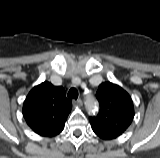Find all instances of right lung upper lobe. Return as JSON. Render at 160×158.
<instances>
[{
	"label": "right lung upper lobe",
	"mask_w": 160,
	"mask_h": 158,
	"mask_svg": "<svg viewBox=\"0 0 160 158\" xmlns=\"http://www.w3.org/2000/svg\"><path fill=\"white\" fill-rule=\"evenodd\" d=\"M71 100L61 86L43 82L35 86L23 104V117L38 135L52 137L59 134L71 111Z\"/></svg>",
	"instance_id": "cb5924a9"
}]
</instances>
